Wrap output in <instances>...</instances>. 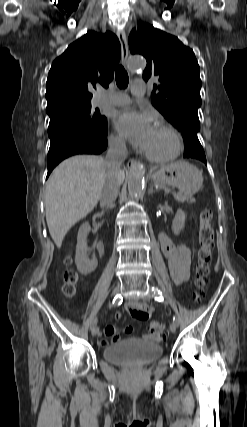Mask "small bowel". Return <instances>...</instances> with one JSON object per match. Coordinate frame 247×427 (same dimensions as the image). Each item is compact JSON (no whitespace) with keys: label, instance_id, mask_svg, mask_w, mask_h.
<instances>
[{"label":"small bowel","instance_id":"1","mask_svg":"<svg viewBox=\"0 0 247 427\" xmlns=\"http://www.w3.org/2000/svg\"><path fill=\"white\" fill-rule=\"evenodd\" d=\"M159 243L161 250L168 261L170 275L175 284H182L187 281L190 276L191 265V250L186 244H175L165 233L159 234ZM125 310L135 319L140 321L147 320L153 309L144 303L129 301L125 304ZM122 314L116 312L115 319L120 320ZM124 332L129 334L132 332L130 326L124 329ZM105 337L100 341L102 346L108 344V339L113 343L120 341V335L113 325H107L104 330ZM145 339H153L150 335L145 336Z\"/></svg>","mask_w":247,"mask_h":427}]
</instances>
